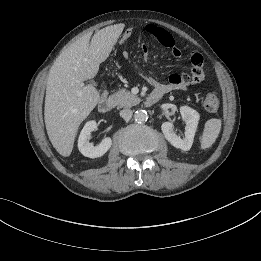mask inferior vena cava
I'll return each mask as SVG.
<instances>
[{
    "label": "inferior vena cava",
    "mask_w": 261,
    "mask_h": 261,
    "mask_svg": "<svg viewBox=\"0 0 261 261\" xmlns=\"http://www.w3.org/2000/svg\"><path fill=\"white\" fill-rule=\"evenodd\" d=\"M133 115V112L131 109H123L120 111V116L126 120L129 121Z\"/></svg>",
    "instance_id": "1"
}]
</instances>
